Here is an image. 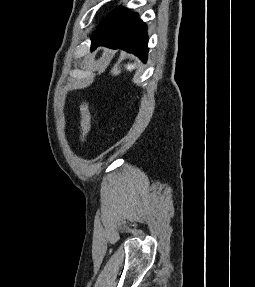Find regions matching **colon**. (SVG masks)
I'll return each instance as SVG.
<instances>
[{
	"label": "colon",
	"mask_w": 255,
	"mask_h": 287,
	"mask_svg": "<svg viewBox=\"0 0 255 287\" xmlns=\"http://www.w3.org/2000/svg\"><path fill=\"white\" fill-rule=\"evenodd\" d=\"M80 115H81V142L83 144L87 143L88 137L90 135L92 126V116L88 107L87 102L83 101L80 105Z\"/></svg>",
	"instance_id": "5ec220e1"
}]
</instances>
